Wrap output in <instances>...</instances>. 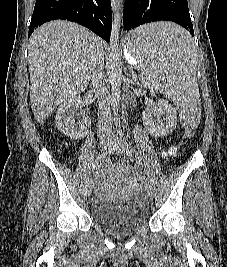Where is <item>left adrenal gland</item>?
<instances>
[{
	"mask_svg": "<svg viewBox=\"0 0 227 267\" xmlns=\"http://www.w3.org/2000/svg\"><path fill=\"white\" fill-rule=\"evenodd\" d=\"M130 75H131V78H132L131 82L132 83H137L138 82L137 76H136L135 72L132 69L130 70Z\"/></svg>",
	"mask_w": 227,
	"mask_h": 267,
	"instance_id": "1",
	"label": "left adrenal gland"
}]
</instances>
